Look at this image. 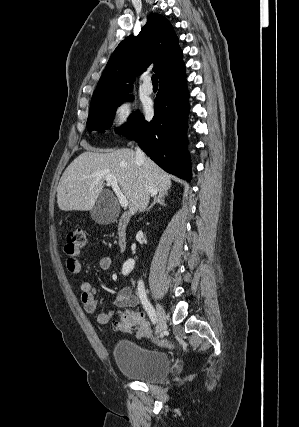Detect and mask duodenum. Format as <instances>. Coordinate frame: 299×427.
Segmentation results:
<instances>
[{"mask_svg": "<svg viewBox=\"0 0 299 427\" xmlns=\"http://www.w3.org/2000/svg\"><path fill=\"white\" fill-rule=\"evenodd\" d=\"M128 223H129V215L127 213H123L119 218L118 225H117V244H118V248L121 251H124L127 246Z\"/></svg>", "mask_w": 299, "mask_h": 427, "instance_id": "obj_1", "label": "duodenum"}]
</instances>
